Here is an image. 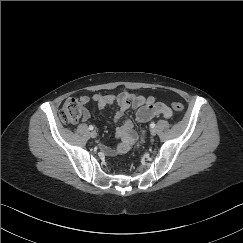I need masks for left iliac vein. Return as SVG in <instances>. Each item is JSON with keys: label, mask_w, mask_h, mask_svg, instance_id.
Segmentation results:
<instances>
[{"label": "left iliac vein", "mask_w": 243, "mask_h": 243, "mask_svg": "<svg viewBox=\"0 0 243 243\" xmlns=\"http://www.w3.org/2000/svg\"><path fill=\"white\" fill-rule=\"evenodd\" d=\"M150 133H151L152 136H154V135H156L157 132H156L155 129H151V130H150Z\"/></svg>", "instance_id": "1"}]
</instances>
